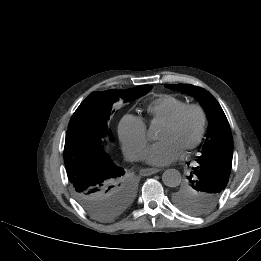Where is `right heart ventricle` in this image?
Returning <instances> with one entry per match:
<instances>
[{
	"label": "right heart ventricle",
	"mask_w": 261,
	"mask_h": 261,
	"mask_svg": "<svg viewBox=\"0 0 261 261\" xmlns=\"http://www.w3.org/2000/svg\"><path fill=\"white\" fill-rule=\"evenodd\" d=\"M186 104L187 102L179 97L163 95L152 101L147 106L146 111L152 121L159 120L165 122Z\"/></svg>",
	"instance_id": "right-heart-ventricle-1"
}]
</instances>
